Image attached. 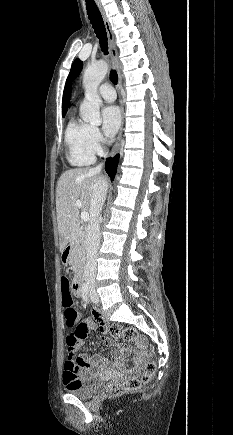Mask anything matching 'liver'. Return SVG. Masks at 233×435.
I'll use <instances>...</instances> for the list:
<instances>
[{
    "label": "liver",
    "mask_w": 233,
    "mask_h": 435,
    "mask_svg": "<svg viewBox=\"0 0 233 435\" xmlns=\"http://www.w3.org/2000/svg\"><path fill=\"white\" fill-rule=\"evenodd\" d=\"M101 178L105 181L103 176L89 168L70 169L60 176L56 187V212L61 253L78 235L79 207L76 201L82 202L83 212L89 211L94 186Z\"/></svg>",
    "instance_id": "obj_1"
}]
</instances>
